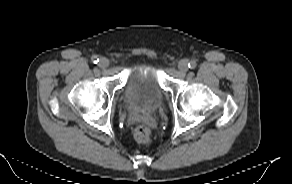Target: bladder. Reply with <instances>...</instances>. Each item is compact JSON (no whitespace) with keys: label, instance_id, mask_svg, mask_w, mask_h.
<instances>
[{"label":"bladder","instance_id":"1","mask_svg":"<svg viewBox=\"0 0 292 184\" xmlns=\"http://www.w3.org/2000/svg\"><path fill=\"white\" fill-rule=\"evenodd\" d=\"M164 98L159 74L147 63L133 65L122 91V99L128 108L151 110L158 107Z\"/></svg>","mask_w":292,"mask_h":184}]
</instances>
